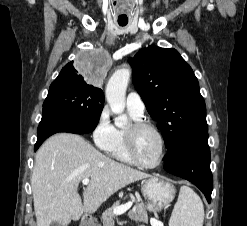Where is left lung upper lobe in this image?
Wrapping results in <instances>:
<instances>
[{"instance_id":"left-lung-upper-lobe-1","label":"left lung upper lobe","mask_w":247,"mask_h":226,"mask_svg":"<svg viewBox=\"0 0 247 226\" xmlns=\"http://www.w3.org/2000/svg\"><path fill=\"white\" fill-rule=\"evenodd\" d=\"M128 62L133 69L134 86L148 113L158 120L168 151L208 131L198 80L175 49L150 46Z\"/></svg>"}]
</instances>
